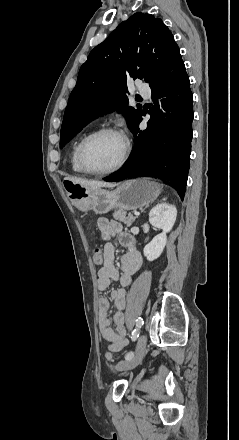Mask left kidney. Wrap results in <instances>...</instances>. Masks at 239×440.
Segmentation results:
<instances>
[{
    "instance_id": "5707ae66",
    "label": "left kidney",
    "mask_w": 239,
    "mask_h": 440,
    "mask_svg": "<svg viewBox=\"0 0 239 440\" xmlns=\"http://www.w3.org/2000/svg\"><path fill=\"white\" fill-rule=\"evenodd\" d=\"M176 216L177 210L175 206L166 204V202L157 204L155 208H152L149 214V222L151 226H154V228H160V230H163V232L162 234L155 236L152 242L146 244L143 250L144 256L147 258V260H149V262H153V260H157V258L161 256L167 244L166 234L172 230L176 222Z\"/></svg>"
}]
</instances>
